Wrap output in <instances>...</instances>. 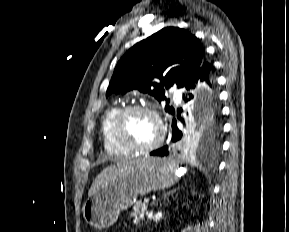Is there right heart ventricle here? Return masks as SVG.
Listing matches in <instances>:
<instances>
[{"label":"right heart ventricle","instance_id":"e07e8e85","mask_svg":"<svg viewBox=\"0 0 289 232\" xmlns=\"http://www.w3.org/2000/svg\"><path fill=\"white\" fill-rule=\"evenodd\" d=\"M120 109V106L109 108L103 116L100 129L106 153L115 157H123L130 154L128 151L120 147L113 137V123Z\"/></svg>","mask_w":289,"mask_h":232}]
</instances>
